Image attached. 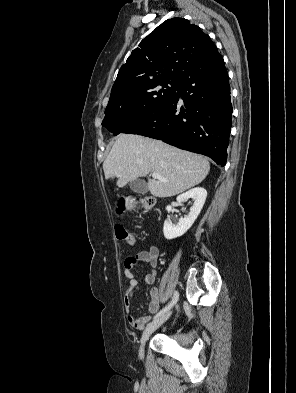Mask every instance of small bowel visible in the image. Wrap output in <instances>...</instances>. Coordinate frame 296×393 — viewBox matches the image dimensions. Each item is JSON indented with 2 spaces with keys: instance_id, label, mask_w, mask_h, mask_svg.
Here are the masks:
<instances>
[{
  "instance_id": "obj_1",
  "label": "small bowel",
  "mask_w": 296,
  "mask_h": 393,
  "mask_svg": "<svg viewBox=\"0 0 296 393\" xmlns=\"http://www.w3.org/2000/svg\"><path fill=\"white\" fill-rule=\"evenodd\" d=\"M158 258V247L150 246L147 250H142L134 256H129L124 261L123 271L125 276L129 279V287L127 288L124 296V306L126 311L128 312V324L134 330H142L150 322V317L147 315L136 317L130 313L131 300L134 297L135 293L141 288L138 276L135 271V267L140 263H146L150 265L151 270L144 275V282L148 285H152L155 283L156 280V268L158 265ZM160 297L161 293L158 288L154 287L150 290V301L148 304V311L150 313H156L160 308Z\"/></svg>"
}]
</instances>
